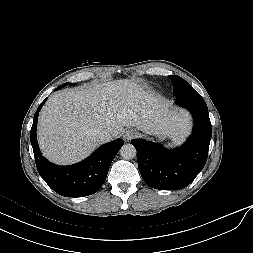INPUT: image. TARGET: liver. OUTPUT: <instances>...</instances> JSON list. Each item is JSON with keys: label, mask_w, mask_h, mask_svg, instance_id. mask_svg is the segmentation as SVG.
<instances>
[{"label": "liver", "mask_w": 253, "mask_h": 253, "mask_svg": "<svg viewBox=\"0 0 253 253\" xmlns=\"http://www.w3.org/2000/svg\"><path fill=\"white\" fill-rule=\"evenodd\" d=\"M168 104L129 80H116L87 88L54 93L42 108L37 128L43 155L57 164L85 159L102 144L97 132L110 130L113 138L124 127L148 134L176 137L188 119Z\"/></svg>", "instance_id": "6515ba94"}]
</instances>
